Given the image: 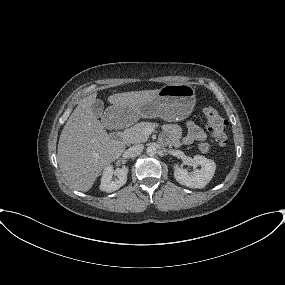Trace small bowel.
I'll return each mask as SVG.
<instances>
[{
    "label": "small bowel",
    "instance_id": "c3829d8e",
    "mask_svg": "<svg viewBox=\"0 0 285 285\" xmlns=\"http://www.w3.org/2000/svg\"><path fill=\"white\" fill-rule=\"evenodd\" d=\"M205 139V131L193 121L187 123V133L183 138L181 137V128L177 124L168 123L163 126L162 141L175 147L182 143L189 145Z\"/></svg>",
    "mask_w": 285,
    "mask_h": 285
}]
</instances>
